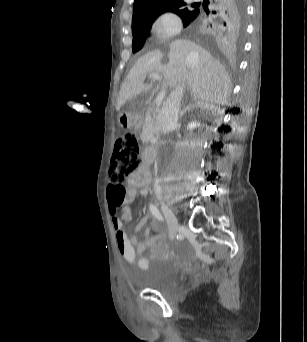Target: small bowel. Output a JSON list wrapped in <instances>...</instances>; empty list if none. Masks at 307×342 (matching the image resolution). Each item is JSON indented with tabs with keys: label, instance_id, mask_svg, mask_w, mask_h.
I'll use <instances>...</instances> for the list:
<instances>
[{
	"label": "small bowel",
	"instance_id": "c3829d8e",
	"mask_svg": "<svg viewBox=\"0 0 307 342\" xmlns=\"http://www.w3.org/2000/svg\"><path fill=\"white\" fill-rule=\"evenodd\" d=\"M128 183L130 198L135 195L138 189L141 194H146L148 192L149 184L147 169L144 167L138 169L129 177ZM116 211L117 210L110 206V212L112 214L111 224L114 230L117 248L124 260L130 264H134L136 262V256L141 255L147 247H152L154 249V254H157V250L163 245V242L166 238V233L161 232L158 237H154L150 234V228L147 226L149 215H146L140 220L135 228L134 234L131 237H128L124 230L123 220L115 215ZM123 213L130 214V211L128 208H124ZM152 227L155 230H161V225L157 221L153 223ZM143 228L145 232V240L143 242H140L138 240L137 234ZM149 263L150 259L147 256H141L138 260V265L142 269H147Z\"/></svg>",
	"mask_w": 307,
	"mask_h": 342
}]
</instances>
